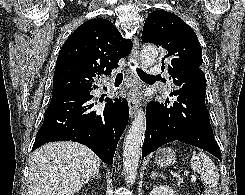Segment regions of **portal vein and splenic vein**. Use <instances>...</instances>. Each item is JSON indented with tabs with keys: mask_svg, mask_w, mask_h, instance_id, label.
Here are the masks:
<instances>
[{
	"mask_svg": "<svg viewBox=\"0 0 245 195\" xmlns=\"http://www.w3.org/2000/svg\"><path fill=\"white\" fill-rule=\"evenodd\" d=\"M191 181H192V182H195V181H196V177H195V176H192V177H191Z\"/></svg>",
	"mask_w": 245,
	"mask_h": 195,
	"instance_id": "1",
	"label": "portal vein and splenic vein"
}]
</instances>
